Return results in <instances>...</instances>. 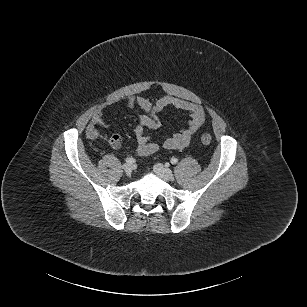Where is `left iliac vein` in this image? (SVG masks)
<instances>
[{
    "mask_svg": "<svg viewBox=\"0 0 307 307\" xmlns=\"http://www.w3.org/2000/svg\"><path fill=\"white\" fill-rule=\"evenodd\" d=\"M154 172L163 180L169 181L173 178V172L168 167L164 166L163 164H155L153 167Z\"/></svg>",
    "mask_w": 307,
    "mask_h": 307,
    "instance_id": "left-iliac-vein-1",
    "label": "left iliac vein"
}]
</instances>
